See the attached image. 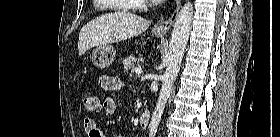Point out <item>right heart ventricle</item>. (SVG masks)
Returning <instances> with one entry per match:
<instances>
[{
    "label": "right heart ventricle",
    "instance_id": "e07e8e85",
    "mask_svg": "<svg viewBox=\"0 0 280 137\" xmlns=\"http://www.w3.org/2000/svg\"><path fill=\"white\" fill-rule=\"evenodd\" d=\"M96 1H104V0H96ZM121 1H127V2H135L134 0H121ZM120 10H127L126 8H119Z\"/></svg>",
    "mask_w": 280,
    "mask_h": 137
}]
</instances>
